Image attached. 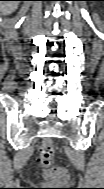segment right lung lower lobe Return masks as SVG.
I'll use <instances>...</instances> for the list:
<instances>
[{
	"instance_id": "98d812e1",
	"label": "right lung lower lobe",
	"mask_w": 104,
	"mask_h": 189,
	"mask_svg": "<svg viewBox=\"0 0 104 189\" xmlns=\"http://www.w3.org/2000/svg\"><path fill=\"white\" fill-rule=\"evenodd\" d=\"M6 1H26V0H6Z\"/></svg>"
}]
</instances>
